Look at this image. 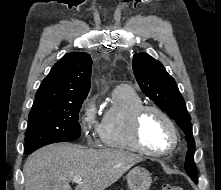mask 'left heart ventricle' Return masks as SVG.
<instances>
[{
  "label": "left heart ventricle",
  "instance_id": "b2bd125f",
  "mask_svg": "<svg viewBox=\"0 0 221 190\" xmlns=\"http://www.w3.org/2000/svg\"><path fill=\"white\" fill-rule=\"evenodd\" d=\"M141 138L149 148L154 150L167 149L173 142L168 124L155 112H147L143 117Z\"/></svg>",
  "mask_w": 221,
  "mask_h": 190
}]
</instances>
